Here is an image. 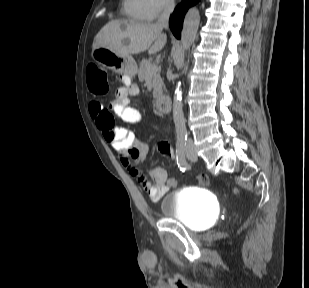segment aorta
<instances>
[{"mask_svg": "<svg viewBox=\"0 0 309 288\" xmlns=\"http://www.w3.org/2000/svg\"><path fill=\"white\" fill-rule=\"evenodd\" d=\"M200 23V14L198 9L191 8L185 15L181 32L182 49L188 48L194 43ZM173 121L175 124L177 138H184L187 135L185 119L183 114L182 89L181 83L176 85L173 97Z\"/></svg>", "mask_w": 309, "mask_h": 288, "instance_id": "762f6f07", "label": "aorta"}]
</instances>
